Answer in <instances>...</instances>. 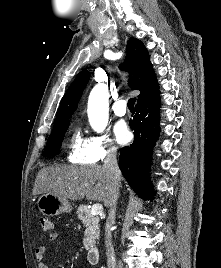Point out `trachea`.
Masks as SVG:
<instances>
[{
	"label": "trachea",
	"instance_id": "3493384b",
	"mask_svg": "<svg viewBox=\"0 0 221 268\" xmlns=\"http://www.w3.org/2000/svg\"><path fill=\"white\" fill-rule=\"evenodd\" d=\"M135 102H136V98H131L128 100L127 106L130 110H134Z\"/></svg>",
	"mask_w": 221,
	"mask_h": 268
}]
</instances>
